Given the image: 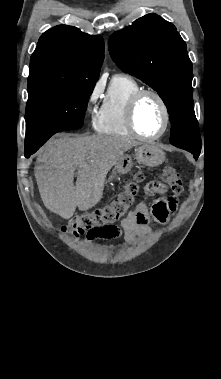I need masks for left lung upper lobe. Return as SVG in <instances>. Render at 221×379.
Instances as JSON below:
<instances>
[{
	"label": "left lung upper lobe",
	"mask_w": 221,
	"mask_h": 379,
	"mask_svg": "<svg viewBox=\"0 0 221 379\" xmlns=\"http://www.w3.org/2000/svg\"><path fill=\"white\" fill-rule=\"evenodd\" d=\"M108 45L122 71L141 79L162 98L172 123V145L199 155L202 143L192 96V62L175 26L147 14L114 32Z\"/></svg>",
	"instance_id": "left-lung-upper-lobe-1"
}]
</instances>
